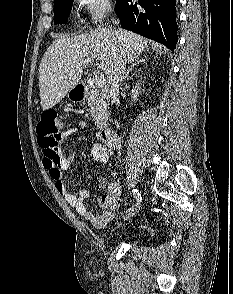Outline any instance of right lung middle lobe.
<instances>
[{
  "mask_svg": "<svg viewBox=\"0 0 233 294\" xmlns=\"http://www.w3.org/2000/svg\"><path fill=\"white\" fill-rule=\"evenodd\" d=\"M74 0H54V24H64L68 18Z\"/></svg>",
  "mask_w": 233,
  "mask_h": 294,
  "instance_id": "right-lung-middle-lobe-1",
  "label": "right lung middle lobe"
}]
</instances>
